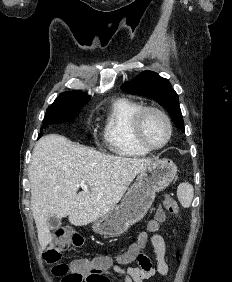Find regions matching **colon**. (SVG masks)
Segmentation results:
<instances>
[{
  "label": "colon",
  "mask_w": 232,
  "mask_h": 282,
  "mask_svg": "<svg viewBox=\"0 0 232 282\" xmlns=\"http://www.w3.org/2000/svg\"><path fill=\"white\" fill-rule=\"evenodd\" d=\"M165 209L175 216L179 214L177 201L167 195L164 200ZM162 219V216L160 217ZM158 222L150 225V230H156ZM146 235H140L137 243L122 257L124 262H130L141 257L140 249L145 245ZM83 244V238L75 233L68 232L63 228L54 231V239L51 246L45 252L44 258L48 264H52L51 269L54 276L61 279V282H90L101 277L108 270L109 260L105 257H97L92 260L77 258L69 264L58 263L62 253L70 247H78Z\"/></svg>",
  "instance_id": "5ec220e1"
}]
</instances>
